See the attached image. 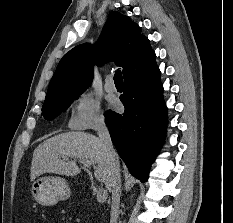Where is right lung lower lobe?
<instances>
[{"mask_svg": "<svg viewBox=\"0 0 233 223\" xmlns=\"http://www.w3.org/2000/svg\"><path fill=\"white\" fill-rule=\"evenodd\" d=\"M120 100L125 112L105 113V123L120 157L130 173L145 182L163 144L167 109L163 101L160 70L156 63L124 79Z\"/></svg>", "mask_w": 233, "mask_h": 223, "instance_id": "98d812e1", "label": "right lung lower lobe"}]
</instances>
